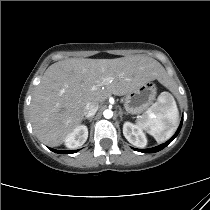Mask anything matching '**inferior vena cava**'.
<instances>
[{
  "instance_id": "obj_1",
  "label": "inferior vena cava",
  "mask_w": 210,
  "mask_h": 210,
  "mask_svg": "<svg viewBox=\"0 0 210 210\" xmlns=\"http://www.w3.org/2000/svg\"><path fill=\"white\" fill-rule=\"evenodd\" d=\"M98 108H99V105L97 103L89 102L85 106L84 115L86 117H92L96 114Z\"/></svg>"
}]
</instances>
